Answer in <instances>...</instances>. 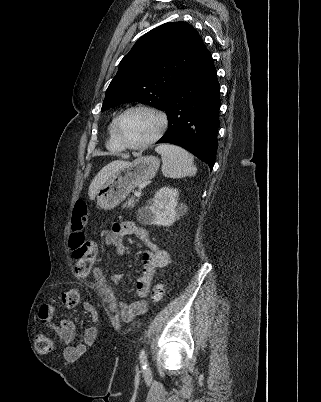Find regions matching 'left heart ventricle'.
<instances>
[{"label": "left heart ventricle", "mask_w": 321, "mask_h": 402, "mask_svg": "<svg viewBox=\"0 0 321 402\" xmlns=\"http://www.w3.org/2000/svg\"><path fill=\"white\" fill-rule=\"evenodd\" d=\"M160 126L159 119L152 113L136 110L124 116L120 134L130 144H140L153 137Z\"/></svg>", "instance_id": "1"}]
</instances>
